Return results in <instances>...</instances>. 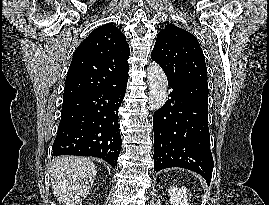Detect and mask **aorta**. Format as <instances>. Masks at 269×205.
Instances as JSON below:
<instances>
[{
    "label": "aorta",
    "instance_id": "obj_1",
    "mask_svg": "<svg viewBox=\"0 0 269 205\" xmlns=\"http://www.w3.org/2000/svg\"><path fill=\"white\" fill-rule=\"evenodd\" d=\"M149 84V108L158 110L164 106L168 98V83L162 68L151 63L147 69Z\"/></svg>",
    "mask_w": 269,
    "mask_h": 205
}]
</instances>
